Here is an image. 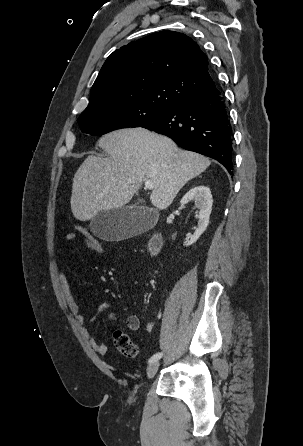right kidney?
<instances>
[{
    "mask_svg": "<svg viewBox=\"0 0 303 446\" xmlns=\"http://www.w3.org/2000/svg\"><path fill=\"white\" fill-rule=\"evenodd\" d=\"M192 200H194L195 206L199 209V221L195 233L190 237L189 241L184 243L185 246L192 245L203 234L209 224L212 210V195L208 187L200 185L192 188L183 196L181 204H187Z\"/></svg>",
    "mask_w": 303,
    "mask_h": 446,
    "instance_id": "right-kidney-1",
    "label": "right kidney"
}]
</instances>
